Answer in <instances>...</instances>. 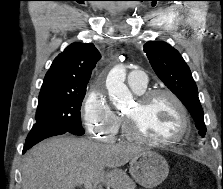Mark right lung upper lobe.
<instances>
[{
  "instance_id": "obj_1",
  "label": "right lung upper lobe",
  "mask_w": 223,
  "mask_h": 189,
  "mask_svg": "<svg viewBox=\"0 0 223 189\" xmlns=\"http://www.w3.org/2000/svg\"><path fill=\"white\" fill-rule=\"evenodd\" d=\"M101 58L94 44L75 42L53 61L44 77L40 94L69 92L86 88L92 70Z\"/></svg>"
}]
</instances>
